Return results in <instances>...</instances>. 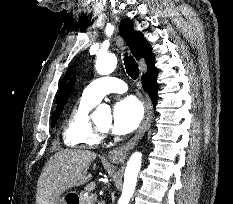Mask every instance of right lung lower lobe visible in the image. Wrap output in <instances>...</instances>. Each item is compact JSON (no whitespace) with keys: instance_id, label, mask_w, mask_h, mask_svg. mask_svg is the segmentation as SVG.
I'll return each instance as SVG.
<instances>
[{"instance_id":"1","label":"right lung lower lobe","mask_w":233,"mask_h":204,"mask_svg":"<svg viewBox=\"0 0 233 204\" xmlns=\"http://www.w3.org/2000/svg\"><path fill=\"white\" fill-rule=\"evenodd\" d=\"M157 74H158L157 69L155 67H152L148 69L147 73L144 74L142 77L143 86L145 90L148 92L154 107L157 102V91H158V86L156 83Z\"/></svg>"}]
</instances>
